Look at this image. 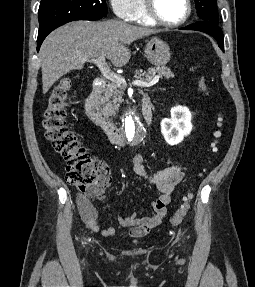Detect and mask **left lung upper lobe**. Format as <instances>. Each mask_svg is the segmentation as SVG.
I'll list each match as a JSON object with an SVG mask.
<instances>
[{
    "label": "left lung upper lobe",
    "instance_id": "left-lung-upper-lobe-1",
    "mask_svg": "<svg viewBox=\"0 0 255 287\" xmlns=\"http://www.w3.org/2000/svg\"><path fill=\"white\" fill-rule=\"evenodd\" d=\"M195 4L201 20L218 23L217 0H195Z\"/></svg>",
    "mask_w": 255,
    "mask_h": 287
}]
</instances>
